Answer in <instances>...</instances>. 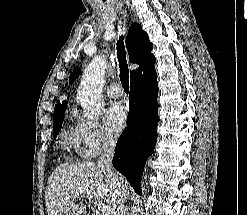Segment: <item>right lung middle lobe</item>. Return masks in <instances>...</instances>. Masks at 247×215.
I'll list each match as a JSON object with an SVG mask.
<instances>
[{
	"instance_id": "dd1d6c3e",
	"label": "right lung middle lobe",
	"mask_w": 247,
	"mask_h": 215,
	"mask_svg": "<svg viewBox=\"0 0 247 215\" xmlns=\"http://www.w3.org/2000/svg\"><path fill=\"white\" fill-rule=\"evenodd\" d=\"M63 115H64V111L60 112L58 114H55L53 116V135H54V139L56 138L57 134L59 133V130L61 129L62 122H63Z\"/></svg>"
}]
</instances>
